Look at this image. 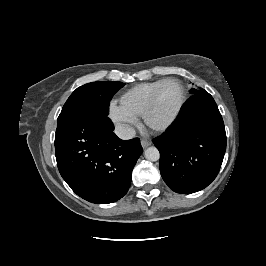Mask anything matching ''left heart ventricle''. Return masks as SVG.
<instances>
[{
	"instance_id": "b2bd125f",
	"label": "left heart ventricle",
	"mask_w": 266,
	"mask_h": 266,
	"mask_svg": "<svg viewBox=\"0 0 266 266\" xmlns=\"http://www.w3.org/2000/svg\"><path fill=\"white\" fill-rule=\"evenodd\" d=\"M181 99L180 86L171 82L163 86L157 97L150 120L155 125L165 123L176 111Z\"/></svg>"
}]
</instances>
